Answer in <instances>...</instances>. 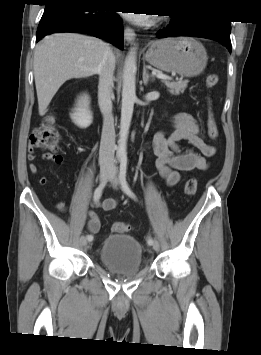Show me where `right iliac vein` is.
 <instances>
[{"instance_id":"obj_1","label":"right iliac vein","mask_w":261,"mask_h":355,"mask_svg":"<svg viewBox=\"0 0 261 355\" xmlns=\"http://www.w3.org/2000/svg\"><path fill=\"white\" fill-rule=\"evenodd\" d=\"M111 175V170L108 169V168H105V169H102L100 171V180L102 183H104L108 178L109 176ZM90 242L91 241H87L85 237H81L80 238V243L85 246V247H88L90 245Z\"/></svg>"}]
</instances>
